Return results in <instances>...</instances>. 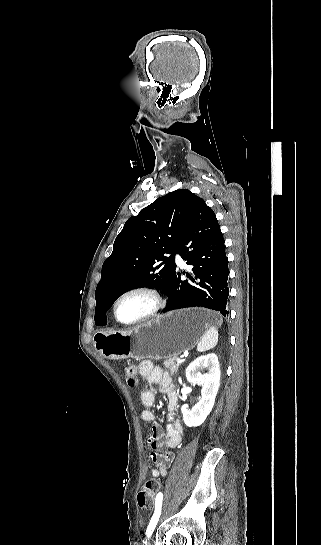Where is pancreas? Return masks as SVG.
<instances>
[{"label": "pancreas", "mask_w": 321, "mask_h": 545, "mask_svg": "<svg viewBox=\"0 0 321 545\" xmlns=\"http://www.w3.org/2000/svg\"><path fill=\"white\" fill-rule=\"evenodd\" d=\"M165 369H169L171 375H174V373H177L179 369V365H176V359H166L163 363Z\"/></svg>", "instance_id": "pancreas-1"}]
</instances>
